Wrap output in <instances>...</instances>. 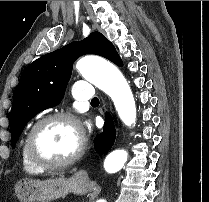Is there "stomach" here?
I'll use <instances>...</instances> for the list:
<instances>
[{
  "instance_id": "stomach-1",
  "label": "stomach",
  "mask_w": 209,
  "mask_h": 202,
  "mask_svg": "<svg viewBox=\"0 0 209 202\" xmlns=\"http://www.w3.org/2000/svg\"><path fill=\"white\" fill-rule=\"evenodd\" d=\"M89 191V182L78 173L70 178L63 176L40 181L22 179L15 185V195L20 202H50L69 193L84 195Z\"/></svg>"
}]
</instances>
